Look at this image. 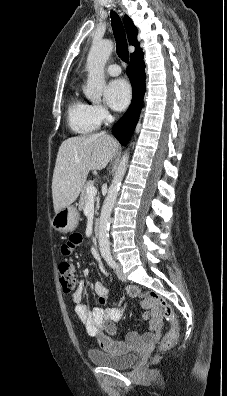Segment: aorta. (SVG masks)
Returning <instances> with one entry per match:
<instances>
[{
    "instance_id": "aorta-1",
    "label": "aorta",
    "mask_w": 227,
    "mask_h": 396,
    "mask_svg": "<svg viewBox=\"0 0 227 396\" xmlns=\"http://www.w3.org/2000/svg\"><path fill=\"white\" fill-rule=\"evenodd\" d=\"M113 50L111 40L94 41L87 58V85L84 89L85 96L93 102H100L105 86L104 67ZM129 153L125 152L117 167L115 176L105 198L99 220V246L101 252L110 251L109 227L110 216L115 205L118 192L127 170Z\"/></svg>"
}]
</instances>
